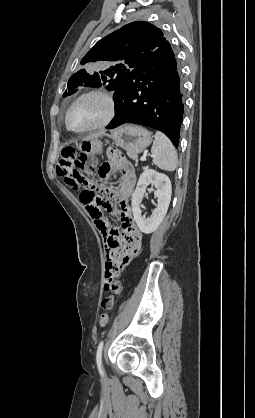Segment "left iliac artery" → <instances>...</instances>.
<instances>
[{"label": "left iliac artery", "instance_id": "44dca946", "mask_svg": "<svg viewBox=\"0 0 255 418\" xmlns=\"http://www.w3.org/2000/svg\"><path fill=\"white\" fill-rule=\"evenodd\" d=\"M103 345L104 342L101 341L98 345L97 348V353H96V362H97V366H98V370L100 372V374L103 375V371H102V350H103Z\"/></svg>", "mask_w": 255, "mask_h": 418}]
</instances>
